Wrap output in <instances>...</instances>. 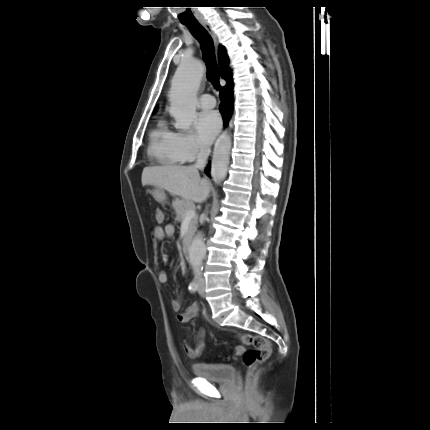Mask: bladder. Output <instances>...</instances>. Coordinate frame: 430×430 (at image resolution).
I'll return each mask as SVG.
<instances>
[{
  "label": "bladder",
  "instance_id": "bladder-1",
  "mask_svg": "<svg viewBox=\"0 0 430 430\" xmlns=\"http://www.w3.org/2000/svg\"><path fill=\"white\" fill-rule=\"evenodd\" d=\"M192 370L195 376L217 383H229L236 374L234 366L220 363H197Z\"/></svg>",
  "mask_w": 430,
  "mask_h": 430
}]
</instances>
